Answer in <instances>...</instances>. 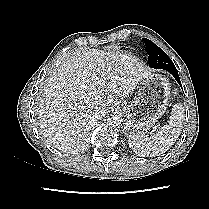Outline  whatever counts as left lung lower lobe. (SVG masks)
<instances>
[{
	"label": "left lung lower lobe",
	"instance_id": "1",
	"mask_svg": "<svg viewBox=\"0 0 209 209\" xmlns=\"http://www.w3.org/2000/svg\"><path fill=\"white\" fill-rule=\"evenodd\" d=\"M166 71L170 72L174 76V78L176 79V81L179 83V85L181 86V82H180V78H179L177 69L176 68H174V69H168Z\"/></svg>",
	"mask_w": 209,
	"mask_h": 209
}]
</instances>
